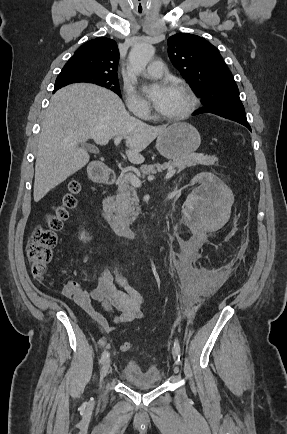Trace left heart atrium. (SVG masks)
Segmentation results:
<instances>
[{"instance_id": "1", "label": "left heart atrium", "mask_w": 287, "mask_h": 434, "mask_svg": "<svg viewBox=\"0 0 287 434\" xmlns=\"http://www.w3.org/2000/svg\"><path fill=\"white\" fill-rule=\"evenodd\" d=\"M172 91V86L166 85V84H160V85H152L145 89V93L147 97L150 99V101L153 103L155 108L160 111L162 110Z\"/></svg>"}]
</instances>
